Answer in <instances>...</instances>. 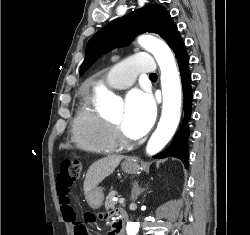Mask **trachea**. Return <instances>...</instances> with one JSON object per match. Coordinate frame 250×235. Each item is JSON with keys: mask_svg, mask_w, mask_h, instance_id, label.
I'll return each instance as SVG.
<instances>
[{"mask_svg": "<svg viewBox=\"0 0 250 235\" xmlns=\"http://www.w3.org/2000/svg\"><path fill=\"white\" fill-rule=\"evenodd\" d=\"M149 77H157V75L155 73H151Z\"/></svg>", "mask_w": 250, "mask_h": 235, "instance_id": "3493384b", "label": "trachea"}]
</instances>
